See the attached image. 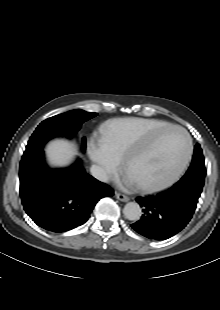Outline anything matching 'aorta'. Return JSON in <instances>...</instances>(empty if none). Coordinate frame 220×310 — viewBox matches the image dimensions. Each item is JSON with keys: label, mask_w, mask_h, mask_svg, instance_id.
I'll use <instances>...</instances> for the list:
<instances>
[{"label": "aorta", "mask_w": 220, "mask_h": 310, "mask_svg": "<svg viewBox=\"0 0 220 310\" xmlns=\"http://www.w3.org/2000/svg\"><path fill=\"white\" fill-rule=\"evenodd\" d=\"M124 216L130 221H137L140 219L142 211L141 207L136 202H128L123 209Z\"/></svg>", "instance_id": "762f6f07"}]
</instances>
